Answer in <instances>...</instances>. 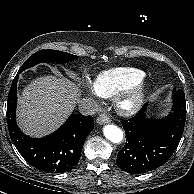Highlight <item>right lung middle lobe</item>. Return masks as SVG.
<instances>
[{
	"instance_id": "obj_1",
	"label": "right lung middle lobe",
	"mask_w": 194,
	"mask_h": 194,
	"mask_svg": "<svg viewBox=\"0 0 194 194\" xmlns=\"http://www.w3.org/2000/svg\"><path fill=\"white\" fill-rule=\"evenodd\" d=\"M76 55H72L66 52L57 50H40L29 57L25 63L21 66L20 70L23 71L27 68L33 67L34 65L41 62H58L66 63L68 61L76 59Z\"/></svg>"
}]
</instances>
